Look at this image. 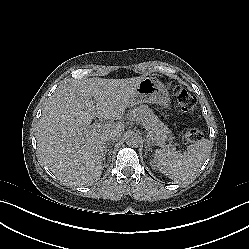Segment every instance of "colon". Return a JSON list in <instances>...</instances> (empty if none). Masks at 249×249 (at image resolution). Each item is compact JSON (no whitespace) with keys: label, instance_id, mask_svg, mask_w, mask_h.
<instances>
[{"label":"colon","instance_id":"5ec220e1","mask_svg":"<svg viewBox=\"0 0 249 249\" xmlns=\"http://www.w3.org/2000/svg\"><path fill=\"white\" fill-rule=\"evenodd\" d=\"M173 96L179 106V108L185 113H192L197 107V101L186 89L181 85L173 84L171 87ZM200 131L197 129H189L185 133V137L188 141L194 142L200 138Z\"/></svg>","mask_w":249,"mask_h":249}]
</instances>
